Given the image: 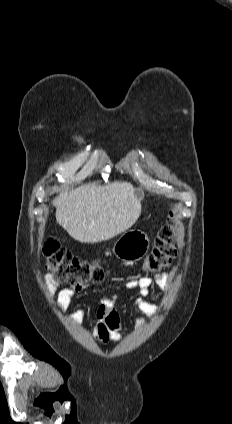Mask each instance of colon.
<instances>
[{
  "instance_id": "5ec220e1",
  "label": "colon",
  "mask_w": 232,
  "mask_h": 424,
  "mask_svg": "<svg viewBox=\"0 0 232 424\" xmlns=\"http://www.w3.org/2000/svg\"><path fill=\"white\" fill-rule=\"evenodd\" d=\"M176 220L171 213L153 241L152 250L144 260V269L159 271L168 266L177 255ZM46 269L55 284H67L73 288L88 283L103 282L107 270L98 260L82 259L54 240H48L44 247Z\"/></svg>"
}]
</instances>
